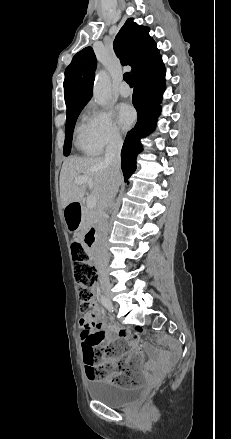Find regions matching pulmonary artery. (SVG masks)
<instances>
[{"mask_svg":"<svg viewBox=\"0 0 231 439\" xmlns=\"http://www.w3.org/2000/svg\"><path fill=\"white\" fill-rule=\"evenodd\" d=\"M119 92L122 96L127 97L131 94V89L126 83H122L119 87Z\"/></svg>","mask_w":231,"mask_h":439,"instance_id":"1","label":"pulmonary artery"}]
</instances>
